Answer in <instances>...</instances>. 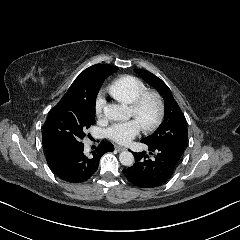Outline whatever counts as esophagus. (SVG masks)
I'll use <instances>...</instances> for the list:
<instances>
[{
	"mask_svg": "<svg viewBox=\"0 0 240 240\" xmlns=\"http://www.w3.org/2000/svg\"><path fill=\"white\" fill-rule=\"evenodd\" d=\"M115 149H116L118 152H122V151L127 150L126 147H124V146H119V145H116V146H115Z\"/></svg>",
	"mask_w": 240,
	"mask_h": 240,
	"instance_id": "obj_1",
	"label": "esophagus"
}]
</instances>
